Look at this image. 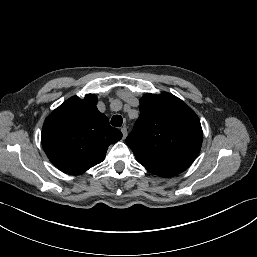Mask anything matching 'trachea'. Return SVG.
Returning <instances> with one entry per match:
<instances>
[{
	"instance_id": "obj_1",
	"label": "trachea",
	"mask_w": 257,
	"mask_h": 257,
	"mask_svg": "<svg viewBox=\"0 0 257 257\" xmlns=\"http://www.w3.org/2000/svg\"><path fill=\"white\" fill-rule=\"evenodd\" d=\"M123 119L120 115H114L111 119V125L115 127H121Z\"/></svg>"
}]
</instances>
